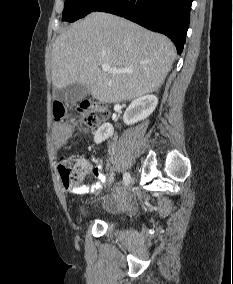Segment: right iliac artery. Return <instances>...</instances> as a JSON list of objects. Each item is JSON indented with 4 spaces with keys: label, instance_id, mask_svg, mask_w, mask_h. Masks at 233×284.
I'll return each mask as SVG.
<instances>
[{
    "label": "right iliac artery",
    "instance_id": "obj_1",
    "mask_svg": "<svg viewBox=\"0 0 233 284\" xmlns=\"http://www.w3.org/2000/svg\"><path fill=\"white\" fill-rule=\"evenodd\" d=\"M129 176H130L129 173H127V172L124 173V175H123V181H124L125 184H126V183H129V181H130Z\"/></svg>",
    "mask_w": 233,
    "mask_h": 284
}]
</instances>
